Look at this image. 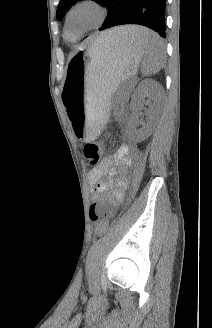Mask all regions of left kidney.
Listing matches in <instances>:
<instances>
[{"label":"left kidney","instance_id":"left-kidney-1","mask_svg":"<svg viewBox=\"0 0 212 328\" xmlns=\"http://www.w3.org/2000/svg\"><path fill=\"white\" fill-rule=\"evenodd\" d=\"M159 84L152 80V79H146L143 82H141L137 89L135 90L134 94L132 95L131 100V110L132 115L129 118L128 124L132 129L137 125L138 123V116L137 113L141 106L145 103V99L149 98L152 101H156L157 97H159ZM153 129V122L149 121L142 125V128L135 130V137L138 141H142L146 139L151 133Z\"/></svg>","mask_w":212,"mask_h":328}]
</instances>
